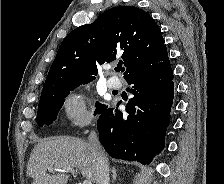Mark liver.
I'll list each match as a JSON object with an SVG mask.
<instances>
[{
  "label": "liver",
  "instance_id": "liver-1",
  "mask_svg": "<svg viewBox=\"0 0 224 184\" xmlns=\"http://www.w3.org/2000/svg\"><path fill=\"white\" fill-rule=\"evenodd\" d=\"M79 169L87 180L96 182V161L87 142L70 136L51 137L38 143L29 158L27 174L32 184H67V172L49 175V168Z\"/></svg>",
  "mask_w": 224,
  "mask_h": 184
}]
</instances>
